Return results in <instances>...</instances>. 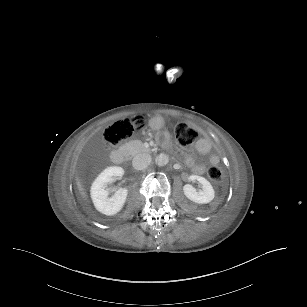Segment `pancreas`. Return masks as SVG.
Wrapping results in <instances>:
<instances>
[{"label":"pancreas","mask_w":307,"mask_h":307,"mask_svg":"<svg viewBox=\"0 0 307 307\" xmlns=\"http://www.w3.org/2000/svg\"><path fill=\"white\" fill-rule=\"evenodd\" d=\"M140 150H141L142 152H146V149L143 148L142 146H141Z\"/></svg>","instance_id":"1"}]
</instances>
